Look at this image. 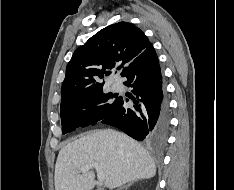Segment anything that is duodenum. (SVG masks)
<instances>
[{"label": "duodenum", "mask_w": 234, "mask_h": 190, "mask_svg": "<svg viewBox=\"0 0 234 190\" xmlns=\"http://www.w3.org/2000/svg\"><path fill=\"white\" fill-rule=\"evenodd\" d=\"M94 190H102V189H94Z\"/></svg>", "instance_id": "obj_1"}]
</instances>
